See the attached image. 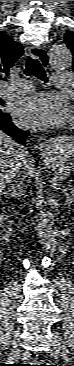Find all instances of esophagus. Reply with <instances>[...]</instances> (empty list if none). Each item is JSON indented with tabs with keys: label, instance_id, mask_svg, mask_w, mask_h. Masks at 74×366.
<instances>
[{
	"label": "esophagus",
	"instance_id": "1",
	"mask_svg": "<svg viewBox=\"0 0 74 366\" xmlns=\"http://www.w3.org/2000/svg\"><path fill=\"white\" fill-rule=\"evenodd\" d=\"M30 56L37 59L42 66H48L49 58L46 50L43 47H31L29 50ZM49 147L46 144L40 145V151L42 154H46Z\"/></svg>",
	"mask_w": 74,
	"mask_h": 366
}]
</instances>
